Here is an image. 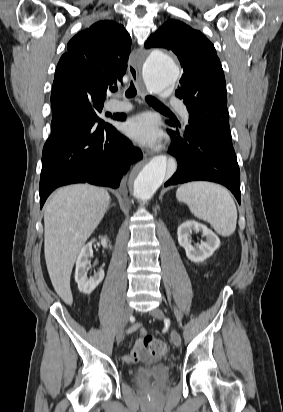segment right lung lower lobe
<instances>
[{
	"label": "right lung lower lobe",
	"instance_id": "right-lung-lower-lobe-1",
	"mask_svg": "<svg viewBox=\"0 0 283 412\" xmlns=\"http://www.w3.org/2000/svg\"><path fill=\"white\" fill-rule=\"evenodd\" d=\"M142 157L112 124L91 116L71 127L52 128L42 153L40 207L55 188L71 183L117 188L130 165Z\"/></svg>",
	"mask_w": 283,
	"mask_h": 412
}]
</instances>
